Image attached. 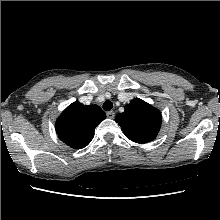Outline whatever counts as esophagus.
<instances>
[{"label": "esophagus", "instance_id": "34e87169", "mask_svg": "<svg viewBox=\"0 0 220 220\" xmlns=\"http://www.w3.org/2000/svg\"><path fill=\"white\" fill-rule=\"evenodd\" d=\"M114 116H115V112L114 111L107 112V117L108 118L112 119V118H114Z\"/></svg>", "mask_w": 220, "mask_h": 220}]
</instances>
